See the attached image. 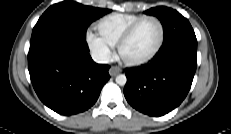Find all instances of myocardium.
<instances>
[{"instance_id": "myocardium-1", "label": "myocardium", "mask_w": 231, "mask_h": 134, "mask_svg": "<svg viewBox=\"0 0 231 134\" xmlns=\"http://www.w3.org/2000/svg\"><path fill=\"white\" fill-rule=\"evenodd\" d=\"M148 20L156 22L157 25L159 26L160 37H159V41H158L157 46L148 56H146L144 58L137 59V60L125 59L121 54L123 47L132 38V36L135 34V32L139 28V26L143 22L148 21ZM164 40H165V29H164V25H163L162 21L155 16H143L140 19H138L136 22H134L125 31V33L122 35V37L120 38V40L117 43V50H118V53L123 57V60L127 65H129V66H141V65H144V64L150 62L151 60H153L157 56V54L160 52V50L164 44Z\"/></svg>"}]
</instances>
